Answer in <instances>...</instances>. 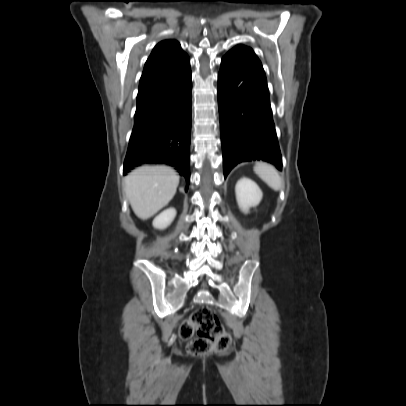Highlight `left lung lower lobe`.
<instances>
[{
	"label": "left lung lower lobe",
	"mask_w": 406,
	"mask_h": 406,
	"mask_svg": "<svg viewBox=\"0 0 406 406\" xmlns=\"http://www.w3.org/2000/svg\"><path fill=\"white\" fill-rule=\"evenodd\" d=\"M218 107L224 176L240 162L262 160L282 169L269 90L260 60L230 50L218 74Z\"/></svg>",
	"instance_id": "obj_1"
}]
</instances>
